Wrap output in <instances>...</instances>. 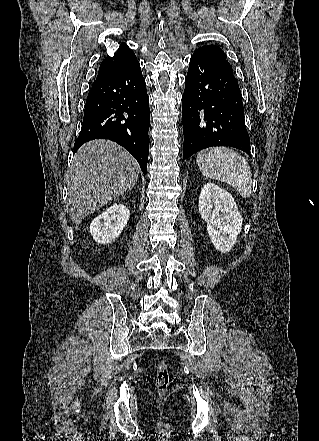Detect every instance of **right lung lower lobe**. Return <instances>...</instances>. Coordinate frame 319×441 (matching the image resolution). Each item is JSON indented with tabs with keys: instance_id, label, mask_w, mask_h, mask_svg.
Returning a JSON list of instances; mask_svg holds the SVG:
<instances>
[{
	"instance_id": "right-lung-lower-lobe-1",
	"label": "right lung lower lobe",
	"mask_w": 319,
	"mask_h": 441,
	"mask_svg": "<svg viewBox=\"0 0 319 441\" xmlns=\"http://www.w3.org/2000/svg\"><path fill=\"white\" fill-rule=\"evenodd\" d=\"M149 126V98L137 61L95 81L86 100L74 153L87 141L109 139L127 149L146 174Z\"/></svg>"
}]
</instances>
